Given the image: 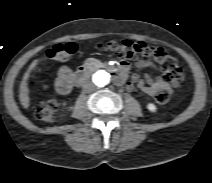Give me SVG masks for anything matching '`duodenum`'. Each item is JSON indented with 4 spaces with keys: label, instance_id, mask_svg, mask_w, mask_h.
I'll use <instances>...</instances> for the list:
<instances>
[{
    "label": "duodenum",
    "instance_id": "duodenum-1",
    "mask_svg": "<svg viewBox=\"0 0 212 183\" xmlns=\"http://www.w3.org/2000/svg\"><path fill=\"white\" fill-rule=\"evenodd\" d=\"M94 70V66L90 64H84L80 66L77 71L74 74V82L76 85H81L91 74V72ZM112 79L115 82H121L123 80V72L122 70L115 69L111 72Z\"/></svg>",
    "mask_w": 212,
    "mask_h": 183
}]
</instances>
